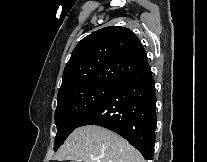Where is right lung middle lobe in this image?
Listing matches in <instances>:
<instances>
[{
	"label": "right lung middle lobe",
	"mask_w": 207,
	"mask_h": 162,
	"mask_svg": "<svg viewBox=\"0 0 207 162\" xmlns=\"http://www.w3.org/2000/svg\"><path fill=\"white\" fill-rule=\"evenodd\" d=\"M114 86L115 84L89 85L58 96L55 111L57 125V134L54 141L55 151L69 134L79 127L84 118L112 91Z\"/></svg>",
	"instance_id": "dd1d6c3e"
}]
</instances>
